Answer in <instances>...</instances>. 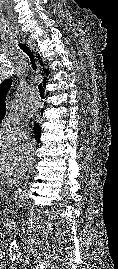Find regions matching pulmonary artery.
Segmentation results:
<instances>
[{
  "label": "pulmonary artery",
  "mask_w": 118,
  "mask_h": 269,
  "mask_svg": "<svg viewBox=\"0 0 118 269\" xmlns=\"http://www.w3.org/2000/svg\"><path fill=\"white\" fill-rule=\"evenodd\" d=\"M28 102H29L30 104H38V103H39V99L36 98V97H29V98H28Z\"/></svg>",
  "instance_id": "e3ab8cb5"
}]
</instances>
